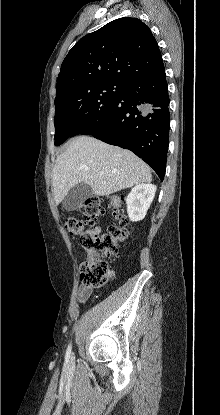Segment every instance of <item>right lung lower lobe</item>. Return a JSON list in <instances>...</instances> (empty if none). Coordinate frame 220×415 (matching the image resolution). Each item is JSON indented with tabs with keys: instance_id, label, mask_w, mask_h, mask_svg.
Instances as JSON below:
<instances>
[{
	"instance_id": "right-lung-lower-lobe-1",
	"label": "right lung lower lobe",
	"mask_w": 220,
	"mask_h": 415,
	"mask_svg": "<svg viewBox=\"0 0 220 415\" xmlns=\"http://www.w3.org/2000/svg\"><path fill=\"white\" fill-rule=\"evenodd\" d=\"M169 96L164 66L131 80L107 120L91 135L134 152L163 181L169 141Z\"/></svg>"
}]
</instances>
